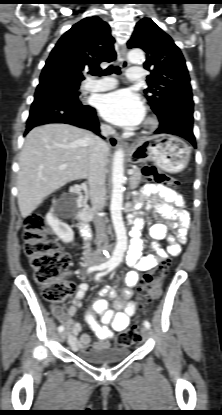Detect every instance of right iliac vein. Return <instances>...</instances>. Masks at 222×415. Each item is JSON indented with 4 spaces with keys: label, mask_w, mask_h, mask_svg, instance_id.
I'll return each mask as SVG.
<instances>
[{
    "label": "right iliac vein",
    "mask_w": 222,
    "mask_h": 415,
    "mask_svg": "<svg viewBox=\"0 0 222 415\" xmlns=\"http://www.w3.org/2000/svg\"><path fill=\"white\" fill-rule=\"evenodd\" d=\"M66 335H67V332H66V331L61 332V333L59 334V340H60L61 342H64V341H65V339H66Z\"/></svg>",
    "instance_id": "63e3f726"
}]
</instances>
